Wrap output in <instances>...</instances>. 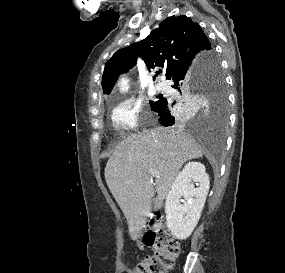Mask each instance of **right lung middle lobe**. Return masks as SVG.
<instances>
[{"label": "right lung middle lobe", "mask_w": 285, "mask_h": 273, "mask_svg": "<svg viewBox=\"0 0 285 273\" xmlns=\"http://www.w3.org/2000/svg\"><path fill=\"white\" fill-rule=\"evenodd\" d=\"M199 87L197 92L187 90L181 93V97L177 100H170L165 97L160 99H168L172 109L179 112L180 106L190 104L194 100V96L199 94L202 98L214 100L220 110V124L222 129L225 128L227 123V93L225 86V79L221 71L219 60L215 53L208 57V63L203 75L200 77ZM158 101L150 102L151 109L157 104Z\"/></svg>", "instance_id": "dd1d6c3e"}]
</instances>
